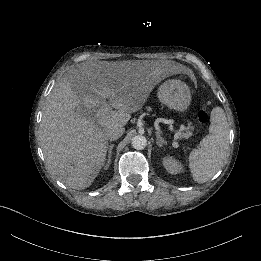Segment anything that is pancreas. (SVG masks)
Returning a JSON list of instances; mask_svg holds the SVG:
<instances>
[{"label":"pancreas","mask_w":261,"mask_h":261,"mask_svg":"<svg viewBox=\"0 0 261 261\" xmlns=\"http://www.w3.org/2000/svg\"><path fill=\"white\" fill-rule=\"evenodd\" d=\"M190 129H192V126L190 124H188L187 127H184L185 132H181L182 135H184V138H189L190 136H192V132L190 131Z\"/></svg>","instance_id":"1"}]
</instances>
